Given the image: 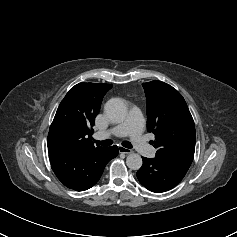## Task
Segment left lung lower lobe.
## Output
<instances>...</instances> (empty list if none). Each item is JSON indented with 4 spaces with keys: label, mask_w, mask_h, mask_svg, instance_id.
<instances>
[{
    "label": "left lung lower lobe",
    "mask_w": 237,
    "mask_h": 237,
    "mask_svg": "<svg viewBox=\"0 0 237 237\" xmlns=\"http://www.w3.org/2000/svg\"><path fill=\"white\" fill-rule=\"evenodd\" d=\"M143 165L137 172L140 183L156 193L175 187L185 176L188 168L158 158L143 157Z\"/></svg>",
    "instance_id": "1"
}]
</instances>
